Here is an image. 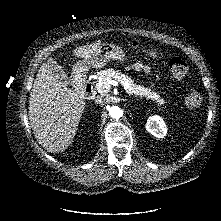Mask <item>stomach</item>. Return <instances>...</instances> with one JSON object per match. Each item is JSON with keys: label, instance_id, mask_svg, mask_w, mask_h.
<instances>
[{"label": "stomach", "instance_id": "obj_1", "mask_svg": "<svg viewBox=\"0 0 221 221\" xmlns=\"http://www.w3.org/2000/svg\"><path fill=\"white\" fill-rule=\"evenodd\" d=\"M124 62L127 60L124 50L113 43H104L100 46L94 57L90 61H78L73 70L76 73H85L88 67L93 66L97 68L104 67L109 61Z\"/></svg>", "mask_w": 221, "mask_h": 221}]
</instances>
